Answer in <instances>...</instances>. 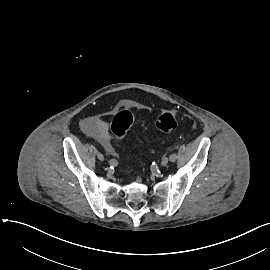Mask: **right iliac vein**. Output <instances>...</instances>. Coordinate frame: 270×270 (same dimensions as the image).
Listing matches in <instances>:
<instances>
[{"label":"right iliac vein","instance_id":"63e3f726","mask_svg":"<svg viewBox=\"0 0 270 270\" xmlns=\"http://www.w3.org/2000/svg\"><path fill=\"white\" fill-rule=\"evenodd\" d=\"M97 158H98L100 161H103V160H104V156H103V154H101L100 152L97 153Z\"/></svg>","mask_w":270,"mask_h":270}]
</instances>
